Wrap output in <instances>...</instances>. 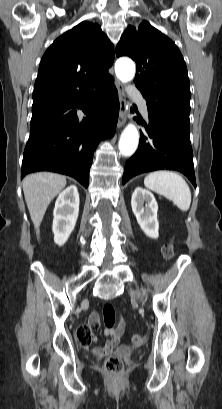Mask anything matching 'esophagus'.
<instances>
[{
	"label": "esophagus",
	"instance_id": "obj_1",
	"mask_svg": "<svg viewBox=\"0 0 222 409\" xmlns=\"http://www.w3.org/2000/svg\"><path fill=\"white\" fill-rule=\"evenodd\" d=\"M115 87L118 91V95H119V116H118V122H117V127L120 128L124 125L125 123V113H126V100H125V92L121 86V83L119 82V80H115L114 82Z\"/></svg>",
	"mask_w": 222,
	"mask_h": 409
}]
</instances>
